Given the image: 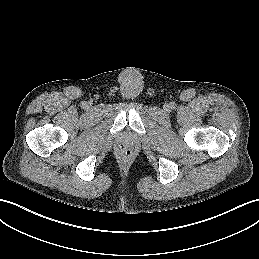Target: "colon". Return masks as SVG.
<instances>
[{
    "label": "colon",
    "mask_w": 259,
    "mask_h": 259,
    "mask_svg": "<svg viewBox=\"0 0 259 259\" xmlns=\"http://www.w3.org/2000/svg\"><path fill=\"white\" fill-rule=\"evenodd\" d=\"M131 153H132L131 150L126 149V150L123 151L122 154H123L124 157H129L131 155Z\"/></svg>",
    "instance_id": "5ec220e1"
}]
</instances>
